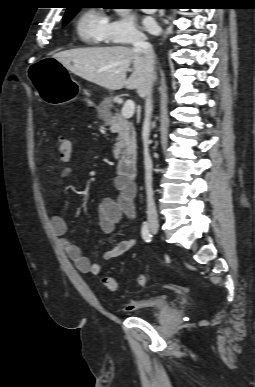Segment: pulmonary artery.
Masks as SVG:
<instances>
[{
  "label": "pulmonary artery",
  "instance_id": "1",
  "mask_svg": "<svg viewBox=\"0 0 255 387\" xmlns=\"http://www.w3.org/2000/svg\"><path fill=\"white\" fill-rule=\"evenodd\" d=\"M155 10L154 9H147L146 12L148 13H153Z\"/></svg>",
  "mask_w": 255,
  "mask_h": 387
}]
</instances>
